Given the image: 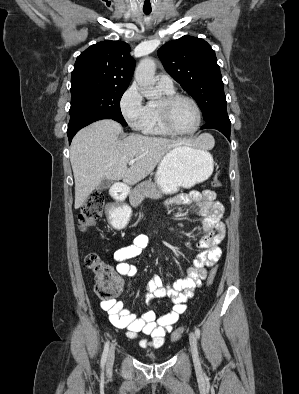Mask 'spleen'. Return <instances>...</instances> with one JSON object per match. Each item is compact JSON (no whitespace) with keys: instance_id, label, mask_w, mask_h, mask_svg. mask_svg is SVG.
<instances>
[{"instance_id":"obj_1","label":"spleen","mask_w":299,"mask_h":394,"mask_svg":"<svg viewBox=\"0 0 299 394\" xmlns=\"http://www.w3.org/2000/svg\"><path fill=\"white\" fill-rule=\"evenodd\" d=\"M214 145V139L210 135H206V148H211Z\"/></svg>"}]
</instances>
